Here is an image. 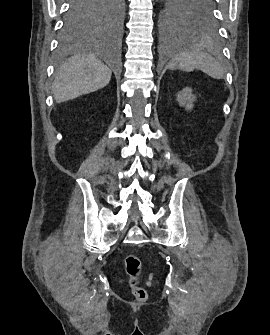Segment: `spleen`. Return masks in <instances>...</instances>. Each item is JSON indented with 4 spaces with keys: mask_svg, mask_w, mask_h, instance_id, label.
I'll use <instances>...</instances> for the list:
<instances>
[{
    "mask_svg": "<svg viewBox=\"0 0 270 335\" xmlns=\"http://www.w3.org/2000/svg\"><path fill=\"white\" fill-rule=\"evenodd\" d=\"M168 68H173V70L178 68L183 72H193L195 68H198L216 80H222L225 72L220 62H217L210 54L203 52L199 44H190V42H181L179 46H175L174 56Z\"/></svg>",
    "mask_w": 270,
    "mask_h": 335,
    "instance_id": "spleen-1",
    "label": "spleen"
}]
</instances>
